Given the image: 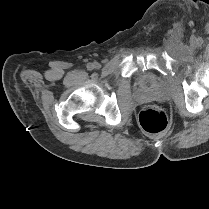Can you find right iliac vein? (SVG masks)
I'll return each mask as SVG.
<instances>
[{
    "instance_id": "obj_1",
    "label": "right iliac vein",
    "mask_w": 209,
    "mask_h": 209,
    "mask_svg": "<svg viewBox=\"0 0 209 209\" xmlns=\"http://www.w3.org/2000/svg\"><path fill=\"white\" fill-rule=\"evenodd\" d=\"M97 69H99L101 67V65L99 63H96V66H95Z\"/></svg>"
}]
</instances>
